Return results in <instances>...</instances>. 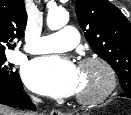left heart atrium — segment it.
I'll return each mask as SVG.
<instances>
[{
	"label": "left heart atrium",
	"mask_w": 131,
	"mask_h": 115,
	"mask_svg": "<svg viewBox=\"0 0 131 115\" xmlns=\"http://www.w3.org/2000/svg\"><path fill=\"white\" fill-rule=\"evenodd\" d=\"M22 77L31 90L51 97L72 96L79 84L78 68L59 56L31 60L23 68Z\"/></svg>",
	"instance_id": "obj_1"
}]
</instances>
